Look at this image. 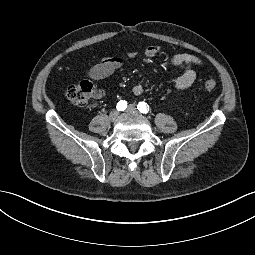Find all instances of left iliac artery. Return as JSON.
<instances>
[{
    "label": "left iliac artery",
    "mask_w": 255,
    "mask_h": 255,
    "mask_svg": "<svg viewBox=\"0 0 255 255\" xmlns=\"http://www.w3.org/2000/svg\"><path fill=\"white\" fill-rule=\"evenodd\" d=\"M137 108L143 114H146L149 112V106L145 102H139L137 105Z\"/></svg>",
    "instance_id": "1"
}]
</instances>
